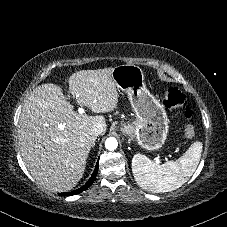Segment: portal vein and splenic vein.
I'll return each instance as SVG.
<instances>
[{
  "instance_id": "obj_1",
  "label": "portal vein and splenic vein",
  "mask_w": 227,
  "mask_h": 227,
  "mask_svg": "<svg viewBox=\"0 0 227 227\" xmlns=\"http://www.w3.org/2000/svg\"><path fill=\"white\" fill-rule=\"evenodd\" d=\"M84 111H85L84 108H82V107H79V108H78L79 114H83ZM156 162L159 163V162H160L159 159H156Z\"/></svg>"
}]
</instances>
